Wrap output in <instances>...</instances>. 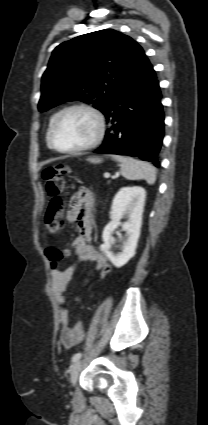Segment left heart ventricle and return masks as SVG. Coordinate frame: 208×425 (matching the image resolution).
I'll return each instance as SVG.
<instances>
[{"label":"left heart ventricle","mask_w":208,"mask_h":425,"mask_svg":"<svg viewBox=\"0 0 208 425\" xmlns=\"http://www.w3.org/2000/svg\"><path fill=\"white\" fill-rule=\"evenodd\" d=\"M97 124L92 115L83 111H72L58 123L54 142L62 149H71L89 143L95 136Z\"/></svg>","instance_id":"1"}]
</instances>
